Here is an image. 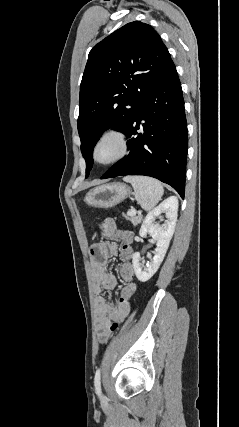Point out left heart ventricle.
Returning a JSON list of instances; mask_svg holds the SVG:
<instances>
[{"label":"left heart ventricle","instance_id":"left-heart-ventricle-1","mask_svg":"<svg viewBox=\"0 0 239 427\" xmlns=\"http://www.w3.org/2000/svg\"><path fill=\"white\" fill-rule=\"evenodd\" d=\"M120 151V144L115 138L105 139L97 149V158L100 161H108L117 156Z\"/></svg>","mask_w":239,"mask_h":427}]
</instances>
